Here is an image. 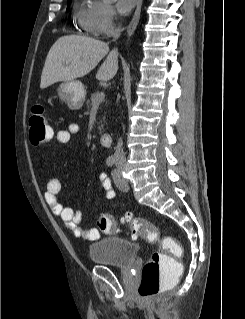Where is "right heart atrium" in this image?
I'll list each match as a JSON object with an SVG mask.
<instances>
[{"label": "right heart atrium", "instance_id": "1", "mask_svg": "<svg viewBox=\"0 0 245 319\" xmlns=\"http://www.w3.org/2000/svg\"><path fill=\"white\" fill-rule=\"evenodd\" d=\"M114 8L103 0H95L91 4V19L86 30L94 34L111 33L116 26Z\"/></svg>", "mask_w": 245, "mask_h": 319}]
</instances>
